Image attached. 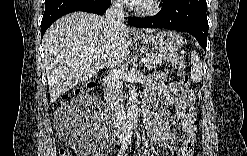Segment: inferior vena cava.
<instances>
[{"label":"inferior vena cava","instance_id":"obj_1","mask_svg":"<svg viewBox=\"0 0 247 156\" xmlns=\"http://www.w3.org/2000/svg\"><path fill=\"white\" fill-rule=\"evenodd\" d=\"M106 23L111 30L119 29L124 26L123 4L120 0L112 1L111 6L106 11ZM109 80L107 82L109 91V104L116 118V127L121 137L124 135L126 126V116L124 108V100L122 97V82L116 66L111 67Z\"/></svg>","mask_w":247,"mask_h":156}]
</instances>
